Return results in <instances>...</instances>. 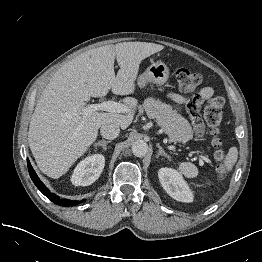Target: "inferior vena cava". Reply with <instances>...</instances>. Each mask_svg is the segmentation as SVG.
I'll return each instance as SVG.
<instances>
[{
  "instance_id": "602c4592",
  "label": "inferior vena cava",
  "mask_w": 262,
  "mask_h": 262,
  "mask_svg": "<svg viewBox=\"0 0 262 262\" xmlns=\"http://www.w3.org/2000/svg\"><path fill=\"white\" fill-rule=\"evenodd\" d=\"M119 132V126L116 124H103L100 129L102 137L110 140L117 138Z\"/></svg>"
}]
</instances>
